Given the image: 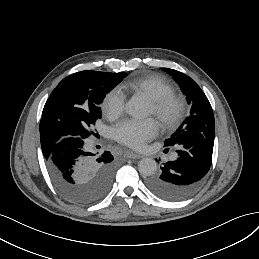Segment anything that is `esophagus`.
<instances>
[{
	"instance_id": "esophagus-1",
	"label": "esophagus",
	"mask_w": 259,
	"mask_h": 259,
	"mask_svg": "<svg viewBox=\"0 0 259 259\" xmlns=\"http://www.w3.org/2000/svg\"><path fill=\"white\" fill-rule=\"evenodd\" d=\"M127 157H128L129 159H139V158H141L142 156L139 155V154H137V153H135V152H133V151H131V150H129V151L127 152Z\"/></svg>"
}]
</instances>
